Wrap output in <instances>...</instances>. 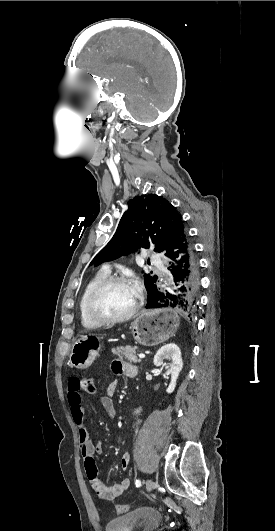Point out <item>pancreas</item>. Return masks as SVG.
I'll list each match as a JSON object with an SVG mask.
<instances>
[{"instance_id": "pancreas-1", "label": "pancreas", "mask_w": 275, "mask_h": 531, "mask_svg": "<svg viewBox=\"0 0 275 531\" xmlns=\"http://www.w3.org/2000/svg\"><path fill=\"white\" fill-rule=\"evenodd\" d=\"M138 347H130V345H126V347H116V349H112L113 355H118L120 361H123V359H127L129 363H140L139 359L136 357V351Z\"/></svg>"}]
</instances>
